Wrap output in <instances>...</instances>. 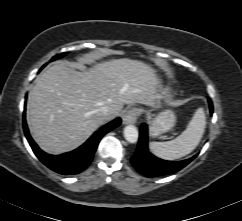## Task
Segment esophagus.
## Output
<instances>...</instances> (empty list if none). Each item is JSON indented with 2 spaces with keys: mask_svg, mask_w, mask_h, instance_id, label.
<instances>
[{
  "mask_svg": "<svg viewBox=\"0 0 242 221\" xmlns=\"http://www.w3.org/2000/svg\"><path fill=\"white\" fill-rule=\"evenodd\" d=\"M137 115H138L137 109L132 108L127 110L122 116L123 124L135 123L137 119Z\"/></svg>",
  "mask_w": 242,
  "mask_h": 221,
  "instance_id": "34e87169",
  "label": "esophagus"
}]
</instances>
